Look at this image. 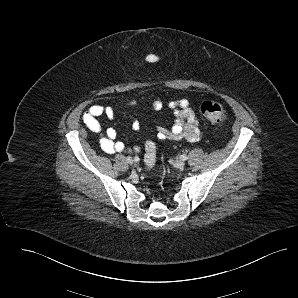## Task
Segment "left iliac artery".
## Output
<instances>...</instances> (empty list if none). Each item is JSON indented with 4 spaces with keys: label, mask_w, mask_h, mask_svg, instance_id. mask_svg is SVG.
Masks as SVG:
<instances>
[{
    "label": "left iliac artery",
    "mask_w": 298,
    "mask_h": 298,
    "mask_svg": "<svg viewBox=\"0 0 298 298\" xmlns=\"http://www.w3.org/2000/svg\"><path fill=\"white\" fill-rule=\"evenodd\" d=\"M180 159L184 161V160H187L188 157H187L186 155H181V156H180Z\"/></svg>",
    "instance_id": "obj_1"
}]
</instances>
